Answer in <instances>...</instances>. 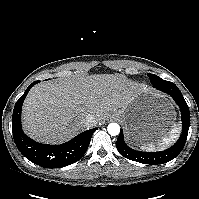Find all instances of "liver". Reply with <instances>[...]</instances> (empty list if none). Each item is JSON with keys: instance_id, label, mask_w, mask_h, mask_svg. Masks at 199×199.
<instances>
[{"instance_id": "liver-1", "label": "liver", "mask_w": 199, "mask_h": 199, "mask_svg": "<svg viewBox=\"0 0 199 199\" xmlns=\"http://www.w3.org/2000/svg\"><path fill=\"white\" fill-rule=\"evenodd\" d=\"M135 94L133 87L112 74L41 83L25 99L23 128L40 142L61 143L88 128L83 124L86 115L101 122L110 113L125 109Z\"/></svg>"}]
</instances>
